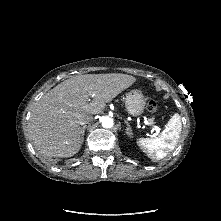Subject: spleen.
Here are the masks:
<instances>
[{
  "label": "spleen",
  "mask_w": 221,
  "mask_h": 221,
  "mask_svg": "<svg viewBox=\"0 0 221 221\" xmlns=\"http://www.w3.org/2000/svg\"><path fill=\"white\" fill-rule=\"evenodd\" d=\"M181 129V119L179 114L176 113L158 137L140 138L137 144L147 153L149 158L154 160L163 159L175 148Z\"/></svg>",
  "instance_id": "obj_1"
}]
</instances>
